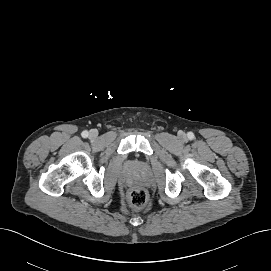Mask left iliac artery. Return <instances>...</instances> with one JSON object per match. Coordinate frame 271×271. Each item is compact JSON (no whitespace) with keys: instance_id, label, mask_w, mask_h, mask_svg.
Wrapping results in <instances>:
<instances>
[{"instance_id":"obj_1","label":"left iliac artery","mask_w":271,"mask_h":271,"mask_svg":"<svg viewBox=\"0 0 271 271\" xmlns=\"http://www.w3.org/2000/svg\"><path fill=\"white\" fill-rule=\"evenodd\" d=\"M187 136L190 140L194 139V134L192 132H189Z\"/></svg>"}]
</instances>
